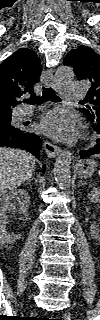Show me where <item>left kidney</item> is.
Segmentation results:
<instances>
[{
    "mask_svg": "<svg viewBox=\"0 0 100 320\" xmlns=\"http://www.w3.org/2000/svg\"><path fill=\"white\" fill-rule=\"evenodd\" d=\"M100 198V189L98 187H94L90 193L88 194V199L90 202H96ZM90 234L94 239L100 238V230L96 225H91Z\"/></svg>",
    "mask_w": 100,
    "mask_h": 320,
    "instance_id": "left-kidney-1",
    "label": "left kidney"
}]
</instances>
